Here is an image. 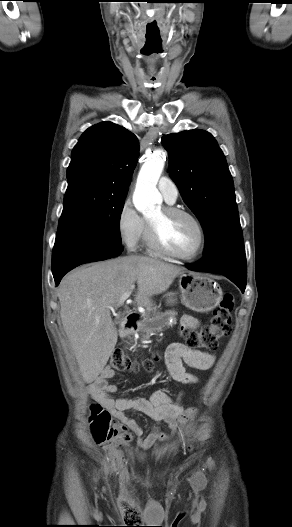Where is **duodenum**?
<instances>
[{
	"label": "duodenum",
	"instance_id": "duodenum-1",
	"mask_svg": "<svg viewBox=\"0 0 292 527\" xmlns=\"http://www.w3.org/2000/svg\"><path fill=\"white\" fill-rule=\"evenodd\" d=\"M138 322H139V315L137 313L129 314L121 324L120 334L122 336H127L133 333L138 327Z\"/></svg>",
	"mask_w": 292,
	"mask_h": 527
}]
</instances>
